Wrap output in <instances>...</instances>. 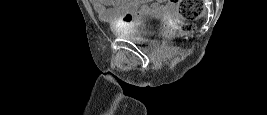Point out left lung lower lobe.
I'll use <instances>...</instances> for the list:
<instances>
[{
  "mask_svg": "<svg viewBox=\"0 0 267 115\" xmlns=\"http://www.w3.org/2000/svg\"><path fill=\"white\" fill-rule=\"evenodd\" d=\"M147 90H149V91H159V88L157 87V88H147Z\"/></svg>",
  "mask_w": 267,
  "mask_h": 115,
  "instance_id": "left-lung-lower-lobe-1",
  "label": "left lung lower lobe"
}]
</instances>
